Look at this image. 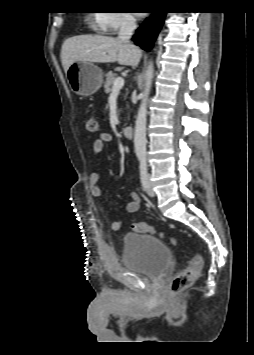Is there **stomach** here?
<instances>
[{
	"instance_id": "1",
	"label": "stomach",
	"mask_w": 254,
	"mask_h": 355,
	"mask_svg": "<svg viewBox=\"0 0 254 355\" xmlns=\"http://www.w3.org/2000/svg\"><path fill=\"white\" fill-rule=\"evenodd\" d=\"M66 75L71 90L81 96H90L97 92L103 81L102 69L91 62H74Z\"/></svg>"
}]
</instances>
